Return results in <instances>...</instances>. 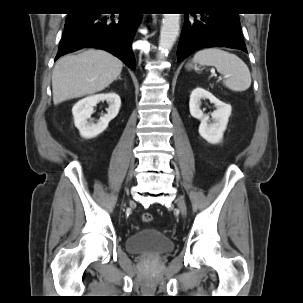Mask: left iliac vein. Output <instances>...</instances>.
I'll list each match as a JSON object with an SVG mask.
<instances>
[{
    "label": "left iliac vein",
    "instance_id": "left-iliac-vein-1",
    "mask_svg": "<svg viewBox=\"0 0 303 303\" xmlns=\"http://www.w3.org/2000/svg\"><path fill=\"white\" fill-rule=\"evenodd\" d=\"M177 206H178L181 214L185 215L186 214V205H185L183 197H181V196L178 197Z\"/></svg>",
    "mask_w": 303,
    "mask_h": 303
}]
</instances>
